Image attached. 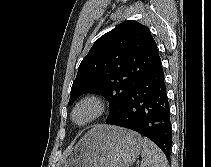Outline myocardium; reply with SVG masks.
<instances>
[{
	"label": "myocardium",
	"instance_id": "1",
	"mask_svg": "<svg viewBox=\"0 0 211 167\" xmlns=\"http://www.w3.org/2000/svg\"><path fill=\"white\" fill-rule=\"evenodd\" d=\"M83 107H89L92 110V113L85 121L78 122L75 118V115L76 112ZM105 109L106 104L101 96L96 94H89L75 103L71 111V120L78 126H86L100 118L104 114Z\"/></svg>",
	"mask_w": 211,
	"mask_h": 167
}]
</instances>
